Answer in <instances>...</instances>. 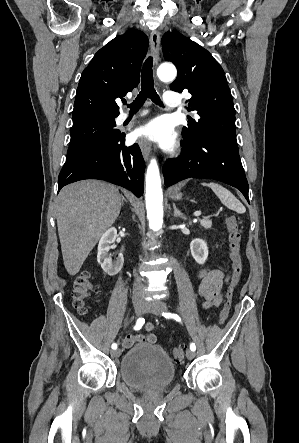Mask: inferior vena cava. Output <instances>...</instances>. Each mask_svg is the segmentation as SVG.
Wrapping results in <instances>:
<instances>
[{
  "mask_svg": "<svg viewBox=\"0 0 299 443\" xmlns=\"http://www.w3.org/2000/svg\"><path fill=\"white\" fill-rule=\"evenodd\" d=\"M144 293V286L142 280L137 276L134 282L133 294L134 296H141Z\"/></svg>",
  "mask_w": 299,
  "mask_h": 443,
  "instance_id": "1",
  "label": "inferior vena cava"
}]
</instances>
